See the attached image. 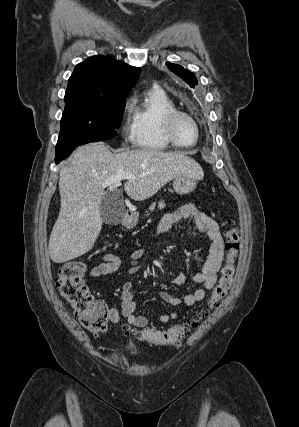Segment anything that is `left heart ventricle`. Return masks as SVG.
Segmentation results:
<instances>
[{
	"mask_svg": "<svg viewBox=\"0 0 299 427\" xmlns=\"http://www.w3.org/2000/svg\"><path fill=\"white\" fill-rule=\"evenodd\" d=\"M174 133L178 142L182 144H191L196 138V128L193 122L185 117H181L176 121Z\"/></svg>",
	"mask_w": 299,
	"mask_h": 427,
	"instance_id": "left-heart-ventricle-1",
	"label": "left heart ventricle"
}]
</instances>
